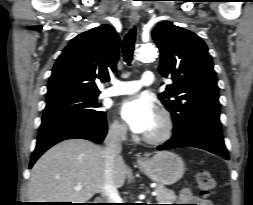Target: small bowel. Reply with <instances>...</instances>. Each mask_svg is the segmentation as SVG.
<instances>
[{
  "mask_svg": "<svg viewBox=\"0 0 253 205\" xmlns=\"http://www.w3.org/2000/svg\"><path fill=\"white\" fill-rule=\"evenodd\" d=\"M180 200L184 203H194V204H184V205H212L210 201L201 199L191 195L187 190L183 191Z\"/></svg>",
  "mask_w": 253,
  "mask_h": 205,
  "instance_id": "c3829d8e",
  "label": "small bowel"
}]
</instances>
